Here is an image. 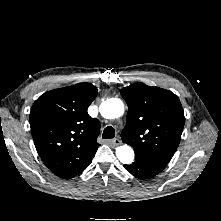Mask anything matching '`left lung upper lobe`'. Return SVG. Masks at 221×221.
I'll return each instance as SVG.
<instances>
[{
	"label": "left lung upper lobe",
	"instance_id": "5c2ea615",
	"mask_svg": "<svg viewBox=\"0 0 221 221\" xmlns=\"http://www.w3.org/2000/svg\"><path fill=\"white\" fill-rule=\"evenodd\" d=\"M121 95L128 105L123 142L136 153L170 161L185 123L179 98L171 91L144 83L122 88Z\"/></svg>",
	"mask_w": 221,
	"mask_h": 221
}]
</instances>
